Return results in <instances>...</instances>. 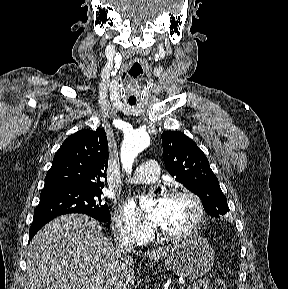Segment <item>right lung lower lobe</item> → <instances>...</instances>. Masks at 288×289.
I'll list each match as a JSON object with an SVG mask.
<instances>
[{
	"instance_id": "right-lung-lower-lobe-1",
	"label": "right lung lower lobe",
	"mask_w": 288,
	"mask_h": 289,
	"mask_svg": "<svg viewBox=\"0 0 288 289\" xmlns=\"http://www.w3.org/2000/svg\"><path fill=\"white\" fill-rule=\"evenodd\" d=\"M54 217H39L34 218L33 223L30 227V233H29V241L32 239V237L38 232V230L43 227L46 223L51 221Z\"/></svg>"
}]
</instances>
